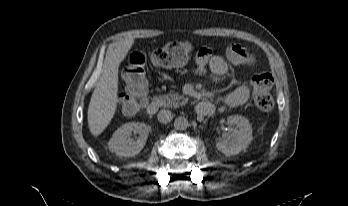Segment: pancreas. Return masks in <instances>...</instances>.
Masks as SVG:
<instances>
[{
    "instance_id": "cf45deb5",
    "label": "pancreas",
    "mask_w": 348,
    "mask_h": 206,
    "mask_svg": "<svg viewBox=\"0 0 348 206\" xmlns=\"http://www.w3.org/2000/svg\"><path fill=\"white\" fill-rule=\"evenodd\" d=\"M161 99L163 100L164 107L167 108H178L179 106L185 105L188 101L183 95L174 92L161 96Z\"/></svg>"
}]
</instances>
